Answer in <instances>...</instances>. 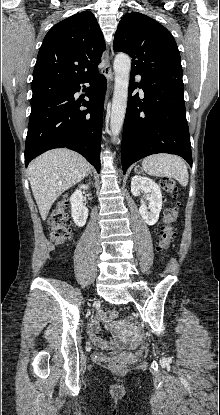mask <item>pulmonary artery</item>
Here are the masks:
<instances>
[{
	"instance_id": "1",
	"label": "pulmonary artery",
	"mask_w": 220,
	"mask_h": 415,
	"mask_svg": "<svg viewBox=\"0 0 220 415\" xmlns=\"http://www.w3.org/2000/svg\"><path fill=\"white\" fill-rule=\"evenodd\" d=\"M137 79L140 80V77L138 76Z\"/></svg>"
}]
</instances>
